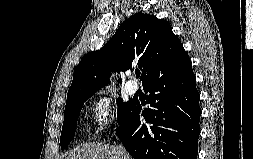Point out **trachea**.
Returning a JSON list of instances; mask_svg holds the SVG:
<instances>
[{
    "mask_svg": "<svg viewBox=\"0 0 253 159\" xmlns=\"http://www.w3.org/2000/svg\"><path fill=\"white\" fill-rule=\"evenodd\" d=\"M135 74H136L137 77H139L140 76V71L139 70L135 71Z\"/></svg>",
    "mask_w": 253,
    "mask_h": 159,
    "instance_id": "obj_1",
    "label": "trachea"
}]
</instances>
